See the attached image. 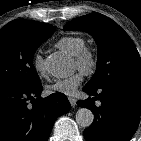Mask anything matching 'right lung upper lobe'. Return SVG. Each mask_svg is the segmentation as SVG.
I'll use <instances>...</instances> for the list:
<instances>
[{
    "label": "right lung upper lobe",
    "mask_w": 141,
    "mask_h": 141,
    "mask_svg": "<svg viewBox=\"0 0 141 141\" xmlns=\"http://www.w3.org/2000/svg\"><path fill=\"white\" fill-rule=\"evenodd\" d=\"M30 22H32L34 24H38V25H48V24H45V23H40V22H35V21H30Z\"/></svg>",
    "instance_id": "cb5924a9"
}]
</instances>
